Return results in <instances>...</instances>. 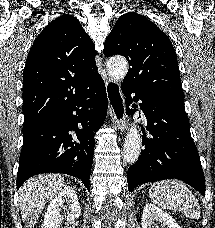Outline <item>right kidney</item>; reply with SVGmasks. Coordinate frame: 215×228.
I'll use <instances>...</instances> for the list:
<instances>
[{"instance_id":"obj_1","label":"right kidney","mask_w":215,"mask_h":228,"mask_svg":"<svg viewBox=\"0 0 215 228\" xmlns=\"http://www.w3.org/2000/svg\"><path fill=\"white\" fill-rule=\"evenodd\" d=\"M63 210L67 212V216H65L67 222H74L81 216L78 196L71 186H66V188L60 190L59 194L51 200L44 216L42 228H58L64 220V216H61Z\"/></svg>"}]
</instances>
